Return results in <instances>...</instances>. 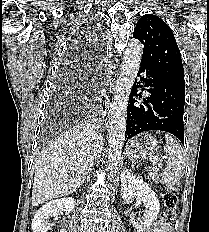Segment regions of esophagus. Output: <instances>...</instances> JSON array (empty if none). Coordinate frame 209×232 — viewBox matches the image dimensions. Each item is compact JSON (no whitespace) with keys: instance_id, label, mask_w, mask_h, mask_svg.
Instances as JSON below:
<instances>
[{"instance_id":"esophagus-1","label":"esophagus","mask_w":209,"mask_h":232,"mask_svg":"<svg viewBox=\"0 0 209 232\" xmlns=\"http://www.w3.org/2000/svg\"><path fill=\"white\" fill-rule=\"evenodd\" d=\"M112 68L113 66L110 67V72L112 73ZM108 85H112L111 81ZM107 106H108V95H107V92H106V89L103 90V94L100 98V109H101V112L102 114H104L107 110Z\"/></svg>"}]
</instances>
